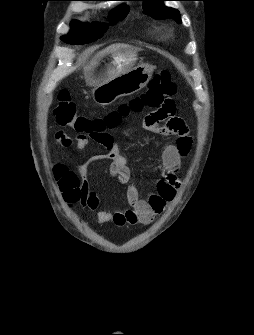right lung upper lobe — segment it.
<instances>
[{
  "instance_id": "right-lung-upper-lobe-1",
  "label": "right lung upper lobe",
  "mask_w": 254,
  "mask_h": 335,
  "mask_svg": "<svg viewBox=\"0 0 254 335\" xmlns=\"http://www.w3.org/2000/svg\"><path fill=\"white\" fill-rule=\"evenodd\" d=\"M121 1H127V0H121ZM121 6H125V5H121Z\"/></svg>"
}]
</instances>
